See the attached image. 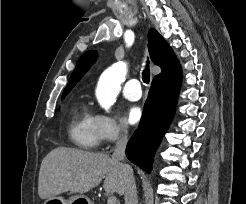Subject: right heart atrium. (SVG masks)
<instances>
[{"instance_id":"obj_1","label":"right heart atrium","mask_w":246,"mask_h":204,"mask_svg":"<svg viewBox=\"0 0 246 204\" xmlns=\"http://www.w3.org/2000/svg\"><path fill=\"white\" fill-rule=\"evenodd\" d=\"M100 141L114 143L127 136V127L117 117L110 114L96 115Z\"/></svg>"}]
</instances>
